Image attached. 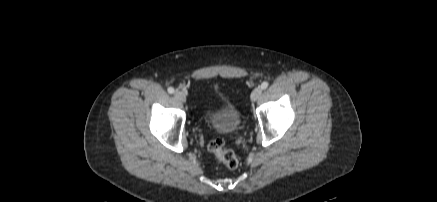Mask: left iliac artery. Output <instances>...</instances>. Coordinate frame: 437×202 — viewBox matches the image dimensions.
<instances>
[{"mask_svg":"<svg viewBox=\"0 0 437 202\" xmlns=\"http://www.w3.org/2000/svg\"><path fill=\"white\" fill-rule=\"evenodd\" d=\"M268 85H269V83H268L267 81H264V82L261 84V88H262V89H266V88L268 87Z\"/></svg>","mask_w":437,"mask_h":202,"instance_id":"left-iliac-artery-1","label":"left iliac artery"}]
</instances>
